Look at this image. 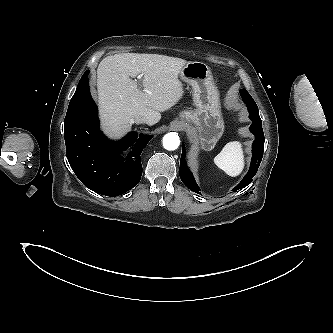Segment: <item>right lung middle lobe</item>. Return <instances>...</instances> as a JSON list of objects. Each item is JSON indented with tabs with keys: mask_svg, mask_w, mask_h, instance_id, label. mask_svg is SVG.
<instances>
[{
	"mask_svg": "<svg viewBox=\"0 0 333 333\" xmlns=\"http://www.w3.org/2000/svg\"><path fill=\"white\" fill-rule=\"evenodd\" d=\"M88 73H89V71H88ZM88 73H87V74H88ZM80 83H81V80H80V82H79L78 86L80 85Z\"/></svg>",
	"mask_w": 333,
	"mask_h": 333,
	"instance_id": "right-lung-middle-lobe-1",
	"label": "right lung middle lobe"
}]
</instances>
